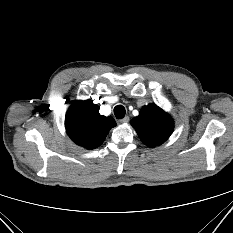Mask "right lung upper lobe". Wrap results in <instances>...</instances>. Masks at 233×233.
Returning <instances> with one entry per match:
<instances>
[{
	"mask_svg": "<svg viewBox=\"0 0 233 233\" xmlns=\"http://www.w3.org/2000/svg\"><path fill=\"white\" fill-rule=\"evenodd\" d=\"M100 107L92 100L76 101L65 117V127L69 137L78 145L95 149L105 140L116 122L112 117L99 113Z\"/></svg>",
	"mask_w": 233,
	"mask_h": 233,
	"instance_id": "cb5924a9",
	"label": "right lung upper lobe"
}]
</instances>
